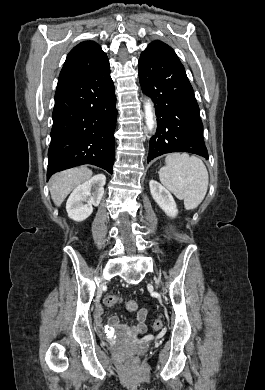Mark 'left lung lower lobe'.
I'll return each mask as SVG.
<instances>
[{
  "mask_svg": "<svg viewBox=\"0 0 265 390\" xmlns=\"http://www.w3.org/2000/svg\"><path fill=\"white\" fill-rule=\"evenodd\" d=\"M138 67L142 90L154 102L158 124L147 161L174 152L208 159L199 106L181 62L141 54Z\"/></svg>",
  "mask_w": 265,
  "mask_h": 390,
  "instance_id": "left-lung-lower-lobe-1",
  "label": "left lung lower lobe"
}]
</instances>
